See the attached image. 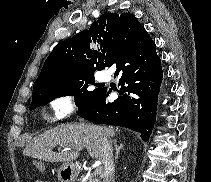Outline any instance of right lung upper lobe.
I'll list each match as a JSON object with an SVG mask.
<instances>
[{
    "mask_svg": "<svg viewBox=\"0 0 211 182\" xmlns=\"http://www.w3.org/2000/svg\"><path fill=\"white\" fill-rule=\"evenodd\" d=\"M145 33L136 17L129 13L101 15L89 30H83L54 47L34 83L33 93L46 85L104 69L118 48Z\"/></svg>",
    "mask_w": 211,
    "mask_h": 182,
    "instance_id": "cb5924a9",
    "label": "right lung upper lobe"
}]
</instances>
